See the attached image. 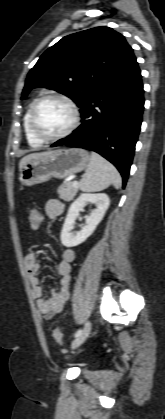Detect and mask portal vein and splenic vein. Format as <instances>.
Returning a JSON list of instances; mask_svg holds the SVG:
<instances>
[{
	"label": "portal vein and splenic vein",
	"mask_w": 165,
	"mask_h": 419,
	"mask_svg": "<svg viewBox=\"0 0 165 419\" xmlns=\"http://www.w3.org/2000/svg\"><path fill=\"white\" fill-rule=\"evenodd\" d=\"M78 182L77 181H73V186H78Z\"/></svg>",
	"instance_id": "18ae733b"
}]
</instances>
